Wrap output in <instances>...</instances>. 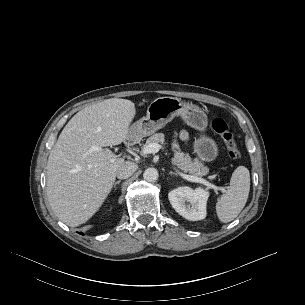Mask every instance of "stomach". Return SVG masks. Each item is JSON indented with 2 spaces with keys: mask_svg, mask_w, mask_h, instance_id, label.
Returning a JSON list of instances; mask_svg holds the SVG:
<instances>
[{
  "mask_svg": "<svg viewBox=\"0 0 305 305\" xmlns=\"http://www.w3.org/2000/svg\"><path fill=\"white\" fill-rule=\"evenodd\" d=\"M176 116H180L184 123L200 132L205 131L208 125L207 115L199 106L185 103L177 97H159L150 103L146 116L131 125L129 132L139 137L149 136ZM193 148L203 161H212L218 155L216 142L205 135L195 139Z\"/></svg>",
  "mask_w": 305,
  "mask_h": 305,
  "instance_id": "obj_1",
  "label": "stomach"
}]
</instances>
